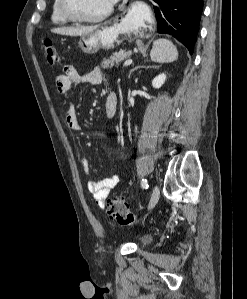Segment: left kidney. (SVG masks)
Instances as JSON below:
<instances>
[{"mask_svg":"<svg viewBox=\"0 0 247 299\" xmlns=\"http://www.w3.org/2000/svg\"><path fill=\"white\" fill-rule=\"evenodd\" d=\"M165 80H166V75L160 74L153 79L152 86L156 89H159L165 83Z\"/></svg>","mask_w":247,"mask_h":299,"instance_id":"1","label":"left kidney"}]
</instances>
